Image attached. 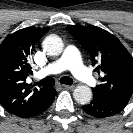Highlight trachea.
Masks as SVG:
<instances>
[{
  "label": "trachea",
  "instance_id": "3493384b",
  "mask_svg": "<svg viewBox=\"0 0 133 133\" xmlns=\"http://www.w3.org/2000/svg\"><path fill=\"white\" fill-rule=\"evenodd\" d=\"M60 82L63 84H67V85L73 84V80L67 76L62 77L60 79ZM36 84H38L40 86H53L55 84V80L52 77H46V78L42 79L41 81L37 82Z\"/></svg>",
  "mask_w": 133,
  "mask_h": 133
}]
</instances>
